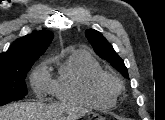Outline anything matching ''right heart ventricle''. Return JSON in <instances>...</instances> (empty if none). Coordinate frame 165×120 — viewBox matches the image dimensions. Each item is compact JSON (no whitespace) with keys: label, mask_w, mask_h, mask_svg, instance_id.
I'll list each match as a JSON object with an SVG mask.
<instances>
[{"label":"right heart ventricle","mask_w":165,"mask_h":120,"mask_svg":"<svg viewBox=\"0 0 165 120\" xmlns=\"http://www.w3.org/2000/svg\"><path fill=\"white\" fill-rule=\"evenodd\" d=\"M57 62L58 73L50 89L59 101L101 109L115 104V94L95 88L96 77L104 71L89 52L73 49Z\"/></svg>","instance_id":"e07e8e85"}]
</instances>
